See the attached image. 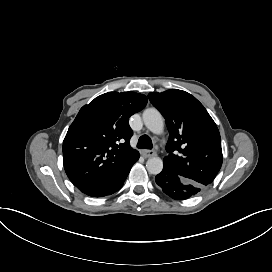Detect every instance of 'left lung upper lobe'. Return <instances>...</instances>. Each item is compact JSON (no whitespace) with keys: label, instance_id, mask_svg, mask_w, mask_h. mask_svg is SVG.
Returning <instances> with one entry per match:
<instances>
[{"label":"left lung upper lobe","instance_id":"left-lung-upper-lobe-1","mask_svg":"<svg viewBox=\"0 0 272 272\" xmlns=\"http://www.w3.org/2000/svg\"><path fill=\"white\" fill-rule=\"evenodd\" d=\"M148 96L166 119L170 133L164 166L202 186L210 184L223 160L220 133L211 116L194 96L182 90Z\"/></svg>","mask_w":272,"mask_h":272}]
</instances>
